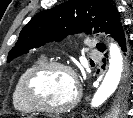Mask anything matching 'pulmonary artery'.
<instances>
[{
    "label": "pulmonary artery",
    "instance_id": "obj_1",
    "mask_svg": "<svg viewBox=\"0 0 133 118\" xmlns=\"http://www.w3.org/2000/svg\"><path fill=\"white\" fill-rule=\"evenodd\" d=\"M90 56L92 59H95V60L101 58V54L95 50L91 51Z\"/></svg>",
    "mask_w": 133,
    "mask_h": 118
}]
</instances>
